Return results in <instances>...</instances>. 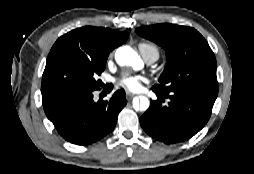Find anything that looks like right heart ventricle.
Instances as JSON below:
<instances>
[{
  "label": "right heart ventricle",
  "instance_id": "obj_1",
  "mask_svg": "<svg viewBox=\"0 0 254 174\" xmlns=\"http://www.w3.org/2000/svg\"><path fill=\"white\" fill-rule=\"evenodd\" d=\"M139 50L141 51L142 55L148 54L150 52H154L159 56L157 47L150 43H140Z\"/></svg>",
  "mask_w": 254,
  "mask_h": 174
}]
</instances>
